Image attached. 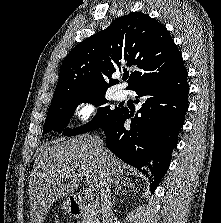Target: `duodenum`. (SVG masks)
<instances>
[{"instance_id": "1", "label": "duodenum", "mask_w": 221, "mask_h": 223, "mask_svg": "<svg viewBox=\"0 0 221 223\" xmlns=\"http://www.w3.org/2000/svg\"><path fill=\"white\" fill-rule=\"evenodd\" d=\"M68 206H69L70 212L75 217H79L82 214L87 213V212H94L96 214L101 213L100 207L84 203L83 201L79 200L78 198H74V197L69 199Z\"/></svg>"}]
</instances>
